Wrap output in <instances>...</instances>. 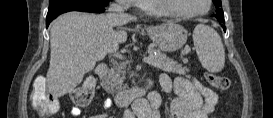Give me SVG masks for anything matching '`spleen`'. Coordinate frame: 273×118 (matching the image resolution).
Returning <instances> with one entry per match:
<instances>
[{
    "label": "spleen",
    "mask_w": 273,
    "mask_h": 118,
    "mask_svg": "<svg viewBox=\"0 0 273 118\" xmlns=\"http://www.w3.org/2000/svg\"><path fill=\"white\" fill-rule=\"evenodd\" d=\"M198 58L206 70L220 72L225 64V51L219 34L211 27L198 24L193 31Z\"/></svg>",
    "instance_id": "1"
}]
</instances>
